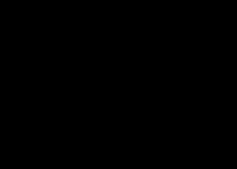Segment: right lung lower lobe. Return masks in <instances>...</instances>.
Listing matches in <instances>:
<instances>
[{
    "label": "right lung lower lobe",
    "mask_w": 237,
    "mask_h": 169,
    "mask_svg": "<svg viewBox=\"0 0 237 169\" xmlns=\"http://www.w3.org/2000/svg\"><path fill=\"white\" fill-rule=\"evenodd\" d=\"M113 105L111 98L92 94L83 108L59 127L60 133L72 143L93 140L103 129Z\"/></svg>",
    "instance_id": "98d812e1"
}]
</instances>
